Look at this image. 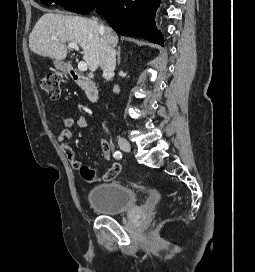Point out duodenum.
<instances>
[{
	"label": "duodenum",
	"mask_w": 255,
	"mask_h": 272,
	"mask_svg": "<svg viewBox=\"0 0 255 272\" xmlns=\"http://www.w3.org/2000/svg\"><path fill=\"white\" fill-rule=\"evenodd\" d=\"M63 69L67 71L71 79L81 87L86 98L92 102L96 103L99 101L100 94L95 85V83L88 77L80 74L75 68L72 66L64 65Z\"/></svg>",
	"instance_id": "1"
}]
</instances>
